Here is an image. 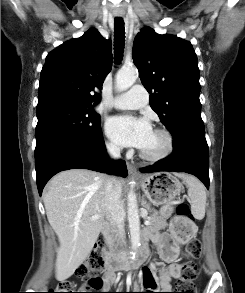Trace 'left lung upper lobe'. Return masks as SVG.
<instances>
[{
    "label": "left lung upper lobe",
    "mask_w": 245,
    "mask_h": 293,
    "mask_svg": "<svg viewBox=\"0 0 245 293\" xmlns=\"http://www.w3.org/2000/svg\"><path fill=\"white\" fill-rule=\"evenodd\" d=\"M132 56L143 86L151 93L150 105L171 134L205 133L192 44L145 27L135 37Z\"/></svg>",
    "instance_id": "left-lung-upper-lobe-1"
}]
</instances>
